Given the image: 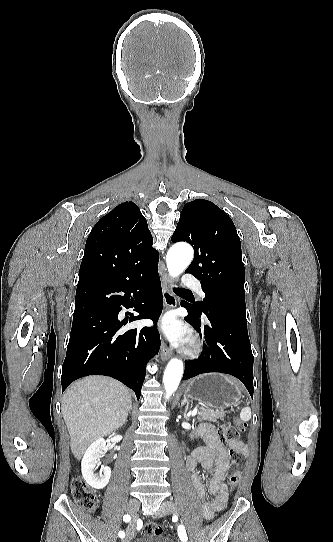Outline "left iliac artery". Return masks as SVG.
Instances as JSON below:
<instances>
[{"label":"left iliac artery","instance_id":"obj_1","mask_svg":"<svg viewBox=\"0 0 333 542\" xmlns=\"http://www.w3.org/2000/svg\"><path fill=\"white\" fill-rule=\"evenodd\" d=\"M178 536H179V538H180L182 541H185V542H186L187 539H188V538H187L186 531H185V528H184L183 525H180V526L178 527Z\"/></svg>","mask_w":333,"mask_h":542}]
</instances>
